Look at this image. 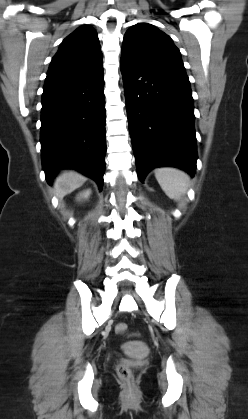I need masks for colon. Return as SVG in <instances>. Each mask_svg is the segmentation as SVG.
<instances>
[{
    "mask_svg": "<svg viewBox=\"0 0 248 419\" xmlns=\"http://www.w3.org/2000/svg\"><path fill=\"white\" fill-rule=\"evenodd\" d=\"M127 331V325L125 323H119L116 326V333L118 334H124ZM117 373L118 375L126 381L128 384H131L133 381V375L128 367V365L125 362H119L117 364Z\"/></svg>",
    "mask_w": 248,
    "mask_h": 419,
    "instance_id": "obj_1",
    "label": "colon"
}]
</instances>
